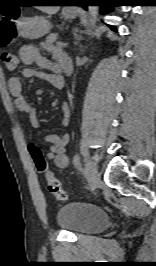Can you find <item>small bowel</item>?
<instances>
[{"mask_svg": "<svg viewBox=\"0 0 156 266\" xmlns=\"http://www.w3.org/2000/svg\"><path fill=\"white\" fill-rule=\"evenodd\" d=\"M52 55L56 60V64H52L40 53L39 49L33 45H23L19 49V56L21 61L30 66L38 65L43 68L52 70V73L40 72L32 67L24 68L19 75L12 77L9 80V91L13 96V102L16 108L25 114V120L32 127H39L40 122L37 118L35 110L29 105L24 95V81L33 82L37 79H45L52 83L57 88L63 87V79L59 74L62 68V62L68 58L57 50L52 51ZM62 125L64 127L70 124V109L67 104L62 105ZM45 141L50 143V148L46 154L47 159L52 160L56 167L66 168L69 164V158L66 153V147L69 143V134H63L59 136L57 134H48L45 136Z\"/></svg>", "mask_w": 156, "mask_h": 266, "instance_id": "1", "label": "small bowel"}]
</instances>
